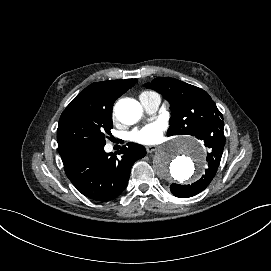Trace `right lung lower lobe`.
<instances>
[{
    "label": "right lung lower lobe",
    "instance_id": "1",
    "mask_svg": "<svg viewBox=\"0 0 271 271\" xmlns=\"http://www.w3.org/2000/svg\"><path fill=\"white\" fill-rule=\"evenodd\" d=\"M122 157L106 153L103 147L81 149L62 157L67 177L86 197L107 202L126 188L133 163L146 155L143 146L128 143Z\"/></svg>",
    "mask_w": 271,
    "mask_h": 271
}]
</instances>
